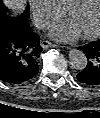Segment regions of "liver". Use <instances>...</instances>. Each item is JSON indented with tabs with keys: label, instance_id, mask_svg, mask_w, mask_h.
Segmentation results:
<instances>
[{
	"label": "liver",
	"instance_id": "6515ba94",
	"mask_svg": "<svg viewBox=\"0 0 100 118\" xmlns=\"http://www.w3.org/2000/svg\"><path fill=\"white\" fill-rule=\"evenodd\" d=\"M27 0H4V5L14 13H20L26 6Z\"/></svg>",
	"mask_w": 100,
	"mask_h": 118
}]
</instances>
